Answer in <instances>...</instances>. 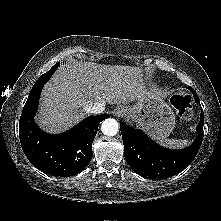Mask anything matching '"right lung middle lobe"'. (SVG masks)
<instances>
[{
	"label": "right lung middle lobe",
	"instance_id": "dd1d6c3e",
	"mask_svg": "<svg viewBox=\"0 0 221 221\" xmlns=\"http://www.w3.org/2000/svg\"><path fill=\"white\" fill-rule=\"evenodd\" d=\"M58 66H59V63L55 64L47 73L41 75L40 78L36 81V83L34 84L33 87H35L36 85H38L41 82L48 81L49 78L51 77V75L54 73V71L57 69Z\"/></svg>",
	"mask_w": 221,
	"mask_h": 221
}]
</instances>
